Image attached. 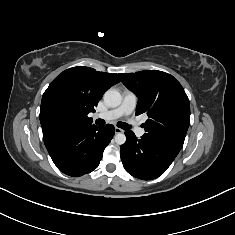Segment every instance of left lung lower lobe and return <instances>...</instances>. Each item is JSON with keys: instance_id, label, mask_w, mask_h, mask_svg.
Instances as JSON below:
<instances>
[{"instance_id": "obj_1", "label": "left lung lower lobe", "mask_w": 235, "mask_h": 235, "mask_svg": "<svg viewBox=\"0 0 235 235\" xmlns=\"http://www.w3.org/2000/svg\"><path fill=\"white\" fill-rule=\"evenodd\" d=\"M126 142L120 147L125 170L142 180H152L162 175L178 155L181 148L143 135L137 139L132 131H126Z\"/></svg>"}]
</instances>
